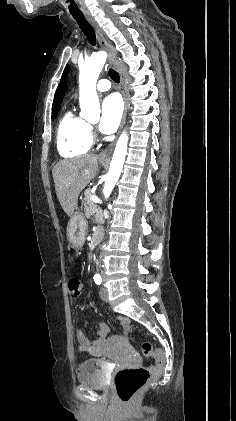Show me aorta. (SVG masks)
<instances>
[{
    "mask_svg": "<svg viewBox=\"0 0 236 421\" xmlns=\"http://www.w3.org/2000/svg\"><path fill=\"white\" fill-rule=\"evenodd\" d=\"M107 52L99 50L93 52L89 60H85L84 64L80 66V106L83 108L86 102H95L97 98L96 82L97 78L105 64ZM128 134L122 132L119 136L115 150L113 152L112 160L110 162L107 180L103 188L105 198L110 196L123 168L125 156L127 154Z\"/></svg>",
    "mask_w": 236,
    "mask_h": 421,
    "instance_id": "1",
    "label": "aorta"
}]
</instances>
